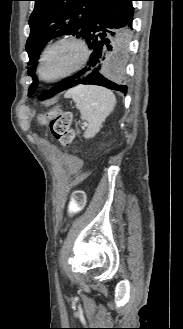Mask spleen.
Listing matches in <instances>:
<instances>
[{
  "instance_id": "1",
  "label": "spleen",
  "mask_w": 183,
  "mask_h": 329,
  "mask_svg": "<svg viewBox=\"0 0 183 329\" xmlns=\"http://www.w3.org/2000/svg\"><path fill=\"white\" fill-rule=\"evenodd\" d=\"M65 98H71L80 111L83 120L87 121L85 138H93L102 127L105 118L114 110V94L100 86L81 85L68 90Z\"/></svg>"
}]
</instances>
